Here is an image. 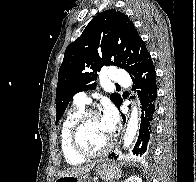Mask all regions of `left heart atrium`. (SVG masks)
Returning <instances> with one entry per match:
<instances>
[{"mask_svg": "<svg viewBox=\"0 0 196 182\" xmlns=\"http://www.w3.org/2000/svg\"><path fill=\"white\" fill-rule=\"evenodd\" d=\"M102 121L106 131L109 134H112L115 130L116 123H117V116L113 110H107L102 117Z\"/></svg>", "mask_w": 196, "mask_h": 182, "instance_id": "obj_1", "label": "left heart atrium"}]
</instances>
